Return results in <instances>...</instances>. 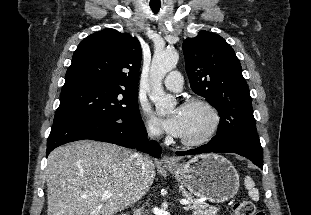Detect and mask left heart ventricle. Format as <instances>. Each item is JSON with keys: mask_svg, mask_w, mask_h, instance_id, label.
Listing matches in <instances>:
<instances>
[{"mask_svg": "<svg viewBox=\"0 0 311 215\" xmlns=\"http://www.w3.org/2000/svg\"><path fill=\"white\" fill-rule=\"evenodd\" d=\"M180 109L184 116V130L181 138L197 139L203 136L211 124L209 113L201 107H181Z\"/></svg>", "mask_w": 311, "mask_h": 215, "instance_id": "b2bd125f", "label": "left heart ventricle"}]
</instances>
